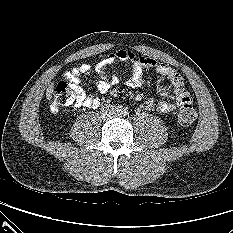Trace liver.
<instances>
[{
    "instance_id": "liver-1",
    "label": "liver",
    "mask_w": 233,
    "mask_h": 233,
    "mask_svg": "<svg viewBox=\"0 0 233 233\" xmlns=\"http://www.w3.org/2000/svg\"><path fill=\"white\" fill-rule=\"evenodd\" d=\"M52 93H53V84L50 85V86L47 88V91H46V97H47L48 100L51 99Z\"/></svg>"
}]
</instances>
